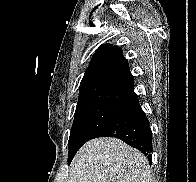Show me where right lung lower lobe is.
<instances>
[{"instance_id":"98d812e1","label":"right lung lower lobe","mask_w":196,"mask_h":182,"mask_svg":"<svg viewBox=\"0 0 196 182\" xmlns=\"http://www.w3.org/2000/svg\"><path fill=\"white\" fill-rule=\"evenodd\" d=\"M98 137L121 139L128 145L141 151L152 164V156L150 154L152 151V133L146 114L139 105L101 129L94 136V138Z\"/></svg>"}]
</instances>
